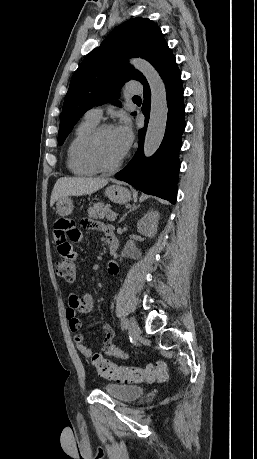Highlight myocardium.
<instances>
[{"instance_id":"1","label":"myocardium","mask_w":257,"mask_h":459,"mask_svg":"<svg viewBox=\"0 0 257 459\" xmlns=\"http://www.w3.org/2000/svg\"><path fill=\"white\" fill-rule=\"evenodd\" d=\"M111 128H113V125L109 123L98 124L88 134L82 146L83 158L90 166L97 169L98 171H102V172L115 171L122 165L126 157V154H123L113 164H105L99 159L97 155V150H96L98 139L104 131L111 129Z\"/></svg>"}]
</instances>
